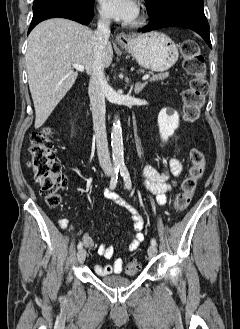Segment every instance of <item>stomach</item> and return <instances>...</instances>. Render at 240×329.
<instances>
[{
  "instance_id": "stomach-1",
  "label": "stomach",
  "mask_w": 240,
  "mask_h": 329,
  "mask_svg": "<svg viewBox=\"0 0 240 329\" xmlns=\"http://www.w3.org/2000/svg\"><path fill=\"white\" fill-rule=\"evenodd\" d=\"M123 48L128 51L141 67L163 72L178 60V48L165 34L150 32L130 39Z\"/></svg>"
}]
</instances>
